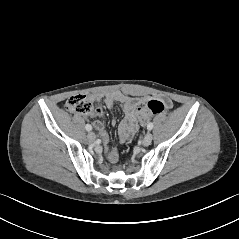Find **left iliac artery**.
Listing matches in <instances>:
<instances>
[{
  "mask_svg": "<svg viewBox=\"0 0 239 239\" xmlns=\"http://www.w3.org/2000/svg\"><path fill=\"white\" fill-rule=\"evenodd\" d=\"M152 128H153V123L150 122V123L147 125V129H148V130H152Z\"/></svg>",
  "mask_w": 239,
  "mask_h": 239,
  "instance_id": "left-iliac-artery-1",
  "label": "left iliac artery"
}]
</instances>
